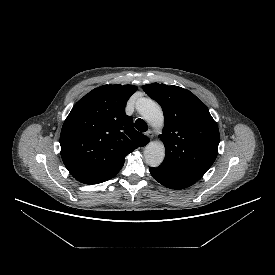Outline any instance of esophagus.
<instances>
[{"instance_id":"1","label":"esophagus","mask_w":275,"mask_h":275,"mask_svg":"<svg viewBox=\"0 0 275 275\" xmlns=\"http://www.w3.org/2000/svg\"><path fill=\"white\" fill-rule=\"evenodd\" d=\"M147 137L151 140L154 137V134L151 130L146 132Z\"/></svg>"}]
</instances>
